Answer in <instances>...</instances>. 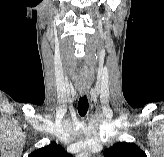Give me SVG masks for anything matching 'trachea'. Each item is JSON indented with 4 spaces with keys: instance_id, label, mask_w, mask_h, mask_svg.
Masks as SVG:
<instances>
[{
    "instance_id": "1",
    "label": "trachea",
    "mask_w": 164,
    "mask_h": 157,
    "mask_svg": "<svg viewBox=\"0 0 164 157\" xmlns=\"http://www.w3.org/2000/svg\"><path fill=\"white\" fill-rule=\"evenodd\" d=\"M89 103L87 97L84 95L80 97L78 102V112L81 116H85L88 111Z\"/></svg>"
}]
</instances>
